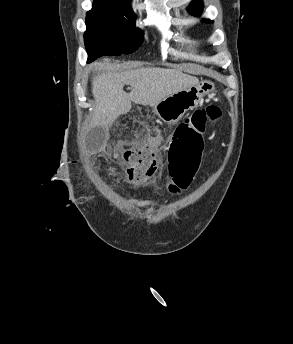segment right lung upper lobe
I'll list each match as a JSON object with an SVG mask.
<instances>
[{"label": "right lung upper lobe", "mask_w": 293, "mask_h": 344, "mask_svg": "<svg viewBox=\"0 0 293 344\" xmlns=\"http://www.w3.org/2000/svg\"><path fill=\"white\" fill-rule=\"evenodd\" d=\"M130 1L131 0H94L93 4L108 8L132 10L130 7Z\"/></svg>", "instance_id": "cb5924a9"}]
</instances>
